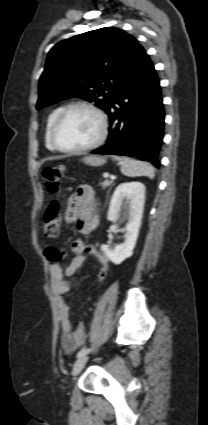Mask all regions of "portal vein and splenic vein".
Returning a JSON list of instances; mask_svg holds the SVG:
<instances>
[{"label":"portal vein and splenic vein","instance_id":"1","mask_svg":"<svg viewBox=\"0 0 208 425\" xmlns=\"http://www.w3.org/2000/svg\"><path fill=\"white\" fill-rule=\"evenodd\" d=\"M103 176H104V178H108V177H109V174H108V173H104V175H103ZM111 179H115V177H114V176H112V177H111Z\"/></svg>","mask_w":208,"mask_h":425}]
</instances>
